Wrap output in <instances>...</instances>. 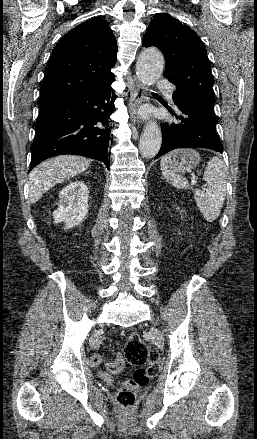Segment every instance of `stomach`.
I'll return each instance as SVG.
<instances>
[{
  "label": "stomach",
  "mask_w": 257,
  "mask_h": 439,
  "mask_svg": "<svg viewBox=\"0 0 257 439\" xmlns=\"http://www.w3.org/2000/svg\"><path fill=\"white\" fill-rule=\"evenodd\" d=\"M200 162L199 154L193 149H178L170 154V168L178 173L184 174L195 168Z\"/></svg>",
  "instance_id": "obj_1"
}]
</instances>
